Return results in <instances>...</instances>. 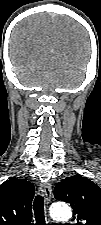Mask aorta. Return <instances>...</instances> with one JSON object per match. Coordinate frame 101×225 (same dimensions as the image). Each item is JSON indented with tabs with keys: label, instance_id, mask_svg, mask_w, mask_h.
Segmentation results:
<instances>
[{
	"label": "aorta",
	"instance_id": "aorta-1",
	"mask_svg": "<svg viewBox=\"0 0 101 225\" xmlns=\"http://www.w3.org/2000/svg\"><path fill=\"white\" fill-rule=\"evenodd\" d=\"M50 215L58 221H67L72 217L71 208L67 204H54L50 209Z\"/></svg>",
	"mask_w": 101,
	"mask_h": 225
}]
</instances>
